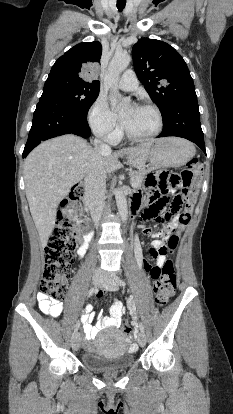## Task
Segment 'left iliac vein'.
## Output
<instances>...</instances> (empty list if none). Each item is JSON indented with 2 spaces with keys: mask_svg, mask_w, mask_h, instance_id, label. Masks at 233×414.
Masks as SVG:
<instances>
[{
  "mask_svg": "<svg viewBox=\"0 0 233 414\" xmlns=\"http://www.w3.org/2000/svg\"><path fill=\"white\" fill-rule=\"evenodd\" d=\"M102 286L109 290V291H116L119 288V285L116 281V278H110V277H105L102 281H101ZM138 343L141 347H144L146 344V335L143 331H140L138 333V337H137Z\"/></svg>",
  "mask_w": 233,
  "mask_h": 414,
  "instance_id": "left-iliac-vein-1",
  "label": "left iliac vein"
}]
</instances>
